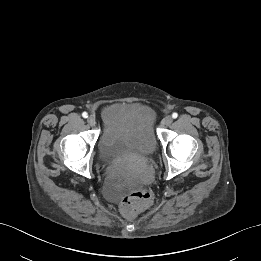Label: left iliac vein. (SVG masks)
<instances>
[{
	"instance_id": "left-iliac-vein-1",
	"label": "left iliac vein",
	"mask_w": 261,
	"mask_h": 261,
	"mask_svg": "<svg viewBox=\"0 0 261 261\" xmlns=\"http://www.w3.org/2000/svg\"><path fill=\"white\" fill-rule=\"evenodd\" d=\"M172 121H173L172 117L168 115L163 119V124L169 126L172 123Z\"/></svg>"
}]
</instances>
